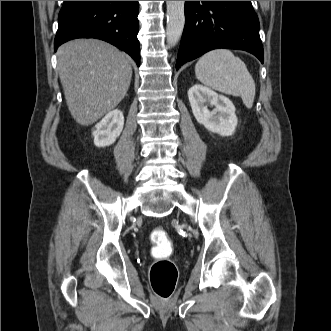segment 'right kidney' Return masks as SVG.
I'll list each match as a JSON object with an SVG mask.
<instances>
[{
    "mask_svg": "<svg viewBox=\"0 0 331 331\" xmlns=\"http://www.w3.org/2000/svg\"><path fill=\"white\" fill-rule=\"evenodd\" d=\"M124 126L123 113L116 109L108 114L96 124L93 131L94 144L97 147L112 145L121 134Z\"/></svg>",
    "mask_w": 331,
    "mask_h": 331,
    "instance_id": "1",
    "label": "right kidney"
}]
</instances>
